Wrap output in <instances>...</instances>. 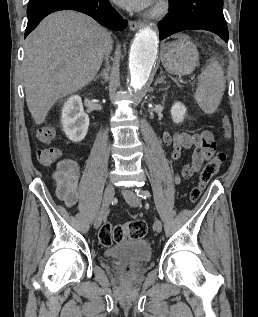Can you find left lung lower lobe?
Listing matches in <instances>:
<instances>
[{
  "mask_svg": "<svg viewBox=\"0 0 258 317\" xmlns=\"http://www.w3.org/2000/svg\"><path fill=\"white\" fill-rule=\"evenodd\" d=\"M169 11L158 24L161 40L180 31L202 29L228 42L223 0H170Z\"/></svg>",
  "mask_w": 258,
  "mask_h": 317,
  "instance_id": "left-lung-lower-lobe-1",
  "label": "left lung lower lobe"
}]
</instances>
